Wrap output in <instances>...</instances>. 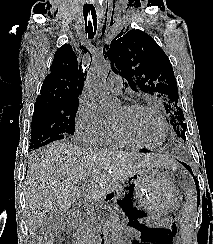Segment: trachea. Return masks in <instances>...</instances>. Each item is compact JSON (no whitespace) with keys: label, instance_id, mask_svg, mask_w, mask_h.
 <instances>
[{"label":"trachea","instance_id":"1","mask_svg":"<svg viewBox=\"0 0 213 244\" xmlns=\"http://www.w3.org/2000/svg\"><path fill=\"white\" fill-rule=\"evenodd\" d=\"M84 18H85V30L88 33L90 39L94 38L97 28V17L94 7H85L84 8Z\"/></svg>","mask_w":213,"mask_h":244}]
</instances>
